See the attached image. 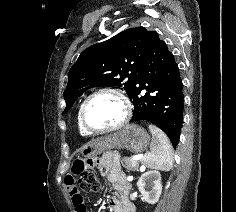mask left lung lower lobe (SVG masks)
I'll use <instances>...</instances> for the list:
<instances>
[{"mask_svg":"<svg viewBox=\"0 0 236 212\" xmlns=\"http://www.w3.org/2000/svg\"><path fill=\"white\" fill-rule=\"evenodd\" d=\"M145 94H141L142 90ZM134 105L131 121H150L170 138L174 148L183 123V84L178 64L166 43L152 32L138 70L136 86L129 96Z\"/></svg>","mask_w":236,"mask_h":212,"instance_id":"0a47b994","label":"left lung lower lobe"}]
</instances>
